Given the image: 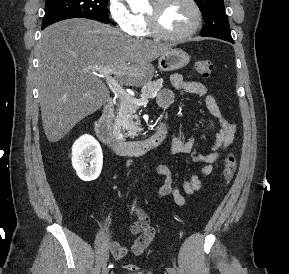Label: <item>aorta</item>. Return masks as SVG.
<instances>
[{
    "mask_svg": "<svg viewBox=\"0 0 289 274\" xmlns=\"http://www.w3.org/2000/svg\"><path fill=\"white\" fill-rule=\"evenodd\" d=\"M148 0H127L132 8L139 9L147 3Z\"/></svg>",
    "mask_w": 289,
    "mask_h": 274,
    "instance_id": "1",
    "label": "aorta"
}]
</instances>
